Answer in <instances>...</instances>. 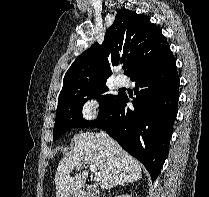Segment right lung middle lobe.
I'll use <instances>...</instances> for the list:
<instances>
[{"label":"right lung middle lobe","instance_id":"1","mask_svg":"<svg viewBox=\"0 0 209 197\" xmlns=\"http://www.w3.org/2000/svg\"><path fill=\"white\" fill-rule=\"evenodd\" d=\"M108 90L106 82L78 84L63 88L59 94L53 141H56L72 128H85L89 126L91 121H86L82 118V107L87 100L97 98L100 104V116L122 94L112 95L108 93Z\"/></svg>","mask_w":209,"mask_h":197}]
</instances>
